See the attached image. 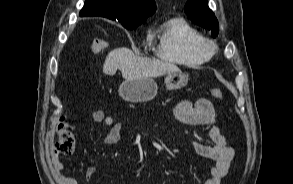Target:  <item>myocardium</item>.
Instances as JSON below:
<instances>
[{"label":"myocardium","instance_id":"obj_1","mask_svg":"<svg viewBox=\"0 0 293 184\" xmlns=\"http://www.w3.org/2000/svg\"><path fill=\"white\" fill-rule=\"evenodd\" d=\"M200 47L209 56L212 55L217 49L216 43L213 40L208 38H203V40L201 41Z\"/></svg>","mask_w":293,"mask_h":184}]
</instances>
